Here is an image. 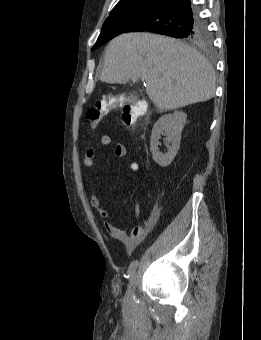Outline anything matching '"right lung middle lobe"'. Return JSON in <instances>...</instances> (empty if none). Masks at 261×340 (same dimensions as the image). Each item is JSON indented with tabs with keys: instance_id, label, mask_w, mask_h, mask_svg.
Returning a JSON list of instances; mask_svg holds the SVG:
<instances>
[{
	"instance_id": "right-lung-middle-lobe-1",
	"label": "right lung middle lobe",
	"mask_w": 261,
	"mask_h": 340,
	"mask_svg": "<svg viewBox=\"0 0 261 340\" xmlns=\"http://www.w3.org/2000/svg\"><path fill=\"white\" fill-rule=\"evenodd\" d=\"M158 3L159 2L139 1L115 6L110 16L104 22L101 33L92 50L125 32L137 20L154 9ZM175 38H182L190 43L206 47L211 44V36L206 24L201 19L196 25L187 29L183 35H177Z\"/></svg>"
}]
</instances>
